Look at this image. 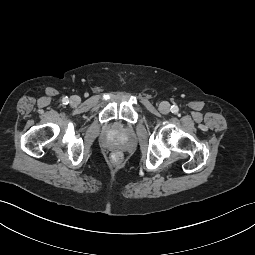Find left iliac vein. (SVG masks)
<instances>
[{
	"label": "left iliac vein",
	"mask_w": 255,
	"mask_h": 255,
	"mask_svg": "<svg viewBox=\"0 0 255 255\" xmlns=\"http://www.w3.org/2000/svg\"><path fill=\"white\" fill-rule=\"evenodd\" d=\"M159 111L163 114H168L170 111V104L168 102H161L159 105Z\"/></svg>",
	"instance_id": "left-iliac-vein-1"
}]
</instances>
